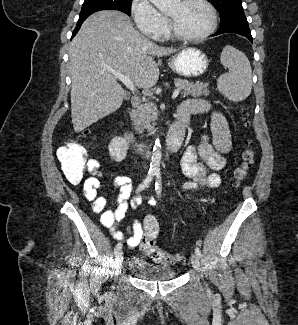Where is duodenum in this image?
Returning <instances> with one entry per match:
<instances>
[{
    "label": "duodenum",
    "mask_w": 298,
    "mask_h": 325,
    "mask_svg": "<svg viewBox=\"0 0 298 325\" xmlns=\"http://www.w3.org/2000/svg\"><path fill=\"white\" fill-rule=\"evenodd\" d=\"M139 104L140 100L138 98H134L132 100V107L129 109L128 113L131 114L134 109L139 106ZM201 111V107L196 103L185 102L179 106L176 120L171 125L166 138V146L170 152H175L179 149L183 141L186 128L189 124L190 117L193 114L200 113ZM124 136L125 139L135 148L140 151L144 150L145 144L139 142L131 132L126 131Z\"/></svg>",
    "instance_id": "obj_1"
}]
</instances>
